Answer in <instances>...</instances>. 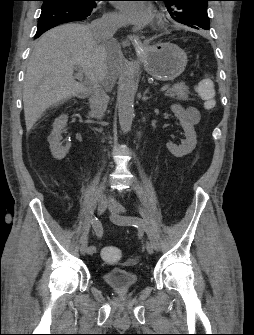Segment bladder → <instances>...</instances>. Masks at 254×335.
Masks as SVG:
<instances>
[{"instance_id": "bladder-1", "label": "bladder", "mask_w": 254, "mask_h": 335, "mask_svg": "<svg viewBox=\"0 0 254 335\" xmlns=\"http://www.w3.org/2000/svg\"><path fill=\"white\" fill-rule=\"evenodd\" d=\"M104 282L112 289L117 291H127L137 285V276L133 271L113 268L106 271L103 275Z\"/></svg>"}]
</instances>
